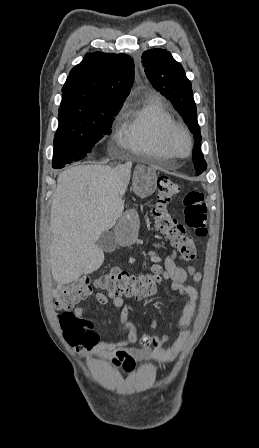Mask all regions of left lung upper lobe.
<instances>
[{"label": "left lung upper lobe", "instance_id": "5c2ea615", "mask_svg": "<svg viewBox=\"0 0 259 448\" xmlns=\"http://www.w3.org/2000/svg\"><path fill=\"white\" fill-rule=\"evenodd\" d=\"M142 65L153 87L169 99L194 134L193 163L196 174L207 168L201 153V134L191 82L185 71L167 50L151 49L142 54Z\"/></svg>", "mask_w": 259, "mask_h": 448}]
</instances>
